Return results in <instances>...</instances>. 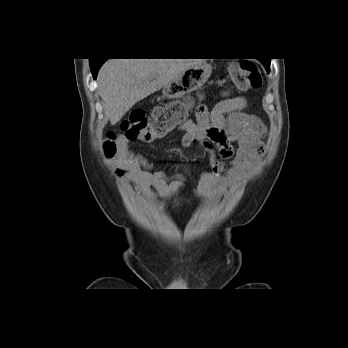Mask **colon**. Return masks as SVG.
<instances>
[{
    "label": "colon",
    "mask_w": 348,
    "mask_h": 348,
    "mask_svg": "<svg viewBox=\"0 0 348 348\" xmlns=\"http://www.w3.org/2000/svg\"><path fill=\"white\" fill-rule=\"evenodd\" d=\"M231 75L240 89H256L261 86L262 75L249 60H238L230 66ZM186 106L179 101L168 102L153 109L147 116L143 109H133L121 124L124 137L129 141L153 142L167 135L186 122ZM121 145L114 133H109L102 144L106 158L118 155Z\"/></svg>",
    "instance_id": "obj_1"
}]
</instances>
